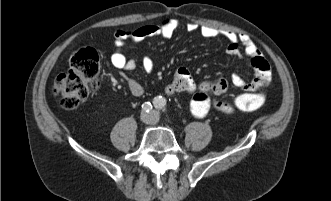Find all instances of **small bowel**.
<instances>
[{
  "label": "small bowel",
  "mask_w": 331,
  "mask_h": 201,
  "mask_svg": "<svg viewBox=\"0 0 331 201\" xmlns=\"http://www.w3.org/2000/svg\"><path fill=\"white\" fill-rule=\"evenodd\" d=\"M177 27L178 22L169 18L159 24L144 25L131 30H117L114 35V50L111 55L112 65L121 71L134 70L136 61L126 57V44L128 42H140L152 36H161L167 39L174 34ZM186 29L188 32L198 31L205 38L223 37L229 41L227 48L229 55L237 58H248L255 72V77L251 81L246 82L239 74H234L232 82L236 87L246 91H257L270 81L269 64L249 36L210 26H198L194 23H188ZM143 68L147 73L153 70V62L149 57L143 59ZM126 83L133 96L139 97L144 93L142 85L136 80L127 78ZM226 90L227 82L224 79L219 78L197 83L185 67H179L175 71L172 81L166 86L168 94L182 92L191 95L190 111L196 118H204L211 108L226 114L234 113L236 109L232 103L220 99V96Z\"/></svg>",
  "instance_id": "1"
}]
</instances>
